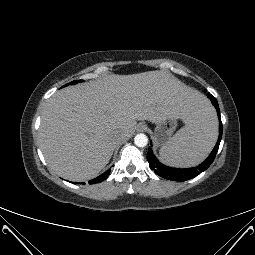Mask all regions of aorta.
Segmentation results:
<instances>
[{
  "label": "aorta",
  "instance_id": "762f6f07",
  "mask_svg": "<svg viewBox=\"0 0 255 255\" xmlns=\"http://www.w3.org/2000/svg\"><path fill=\"white\" fill-rule=\"evenodd\" d=\"M134 143L137 147H145L148 144V138L143 133L137 134L134 137Z\"/></svg>",
  "mask_w": 255,
  "mask_h": 255
}]
</instances>
